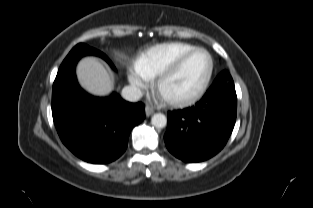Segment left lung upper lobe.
<instances>
[{
  "label": "left lung upper lobe",
  "mask_w": 313,
  "mask_h": 208,
  "mask_svg": "<svg viewBox=\"0 0 313 208\" xmlns=\"http://www.w3.org/2000/svg\"><path fill=\"white\" fill-rule=\"evenodd\" d=\"M219 75L232 79V77H231V75L228 73V71H223V72L220 73Z\"/></svg>",
  "instance_id": "5c2ea615"
}]
</instances>
